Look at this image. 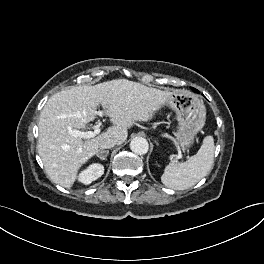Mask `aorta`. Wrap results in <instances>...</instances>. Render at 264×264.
I'll use <instances>...</instances> for the list:
<instances>
[{
	"label": "aorta",
	"mask_w": 264,
	"mask_h": 264,
	"mask_svg": "<svg viewBox=\"0 0 264 264\" xmlns=\"http://www.w3.org/2000/svg\"><path fill=\"white\" fill-rule=\"evenodd\" d=\"M130 149L139 155L146 154L149 149V144L145 138L135 137L130 142Z\"/></svg>",
	"instance_id": "aorta-1"
}]
</instances>
